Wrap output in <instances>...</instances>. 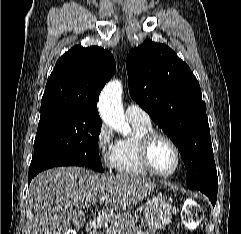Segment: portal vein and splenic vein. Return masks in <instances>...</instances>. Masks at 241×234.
Returning <instances> with one entry per match:
<instances>
[{
	"instance_id": "18ae733b",
	"label": "portal vein and splenic vein",
	"mask_w": 241,
	"mask_h": 234,
	"mask_svg": "<svg viewBox=\"0 0 241 234\" xmlns=\"http://www.w3.org/2000/svg\"><path fill=\"white\" fill-rule=\"evenodd\" d=\"M105 200H106V197H102L100 201L101 203H103Z\"/></svg>"
}]
</instances>
